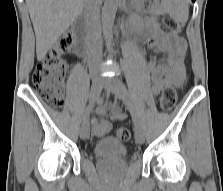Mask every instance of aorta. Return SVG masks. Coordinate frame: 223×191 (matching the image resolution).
<instances>
[{"mask_svg":"<svg viewBox=\"0 0 223 191\" xmlns=\"http://www.w3.org/2000/svg\"><path fill=\"white\" fill-rule=\"evenodd\" d=\"M117 2L118 0H105L102 9V30L105 39L109 42L110 51H112L111 41L113 39V25L117 11Z\"/></svg>","mask_w":223,"mask_h":191,"instance_id":"1","label":"aorta"}]
</instances>
